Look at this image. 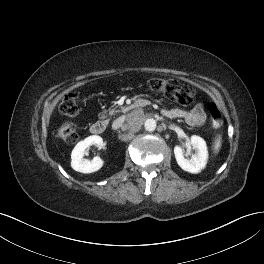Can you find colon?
<instances>
[{"label": "colon", "mask_w": 264, "mask_h": 264, "mask_svg": "<svg viewBox=\"0 0 264 264\" xmlns=\"http://www.w3.org/2000/svg\"><path fill=\"white\" fill-rule=\"evenodd\" d=\"M149 87L166 97L173 99L181 105H190L195 99V92L192 88L184 86L175 80L151 79ZM59 111L62 115L74 117L79 113L77 97L74 94L66 95L60 105ZM208 111L212 120V125L219 128L222 125V114L214 102L208 105ZM55 135L61 141L72 144L78 139L76 126L71 122L63 123L56 131Z\"/></svg>", "instance_id": "colon-1"}]
</instances>
